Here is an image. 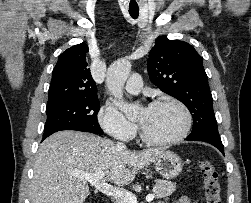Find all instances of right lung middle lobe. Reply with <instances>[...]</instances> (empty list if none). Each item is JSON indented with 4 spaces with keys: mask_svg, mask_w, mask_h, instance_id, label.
<instances>
[{
    "mask_svg": "<svg viewBox=\"0 0 251 203\" xmlns=\"http://www.w3.org/2000/svg\"><path fill=\"white\" fill-rule=\"evenodd\" d=\"M99 109L98 98L80 99L47 107L44 133L78 127L94 134H102L97 121Z\"/></svg>",
    "mask_w": 251,
    "mask_h": 203,
    "instance_id": "dd1d6c3e",
    "label": "right lung middle lobe"
}]
</instances>
